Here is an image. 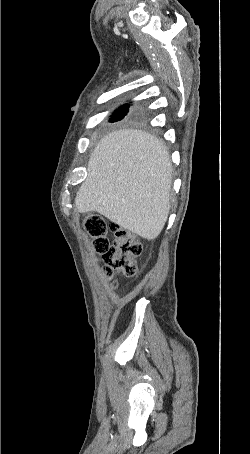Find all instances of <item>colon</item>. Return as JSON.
<instances>
[{"instance_id":"colon-1","label":"colon","mask_w":250,"mask_h":454,"mask_svg":"<svg viewBox=\"0 0 250 454\" xmlns=\"http://www.w3.org/2000/svg\"><path fill=\"white\" fill-rule=\"evenodd\" d=\"M84 229L93 240L94 247L103 262V273L116 287L115 277L119 274L131 277L136 273L134 259L142 253V245L130 232L114 224L109 225L102 217L90 214L84 220ZM114 231L110 243L107 234Z\"/></svg>"}]
</instances>
